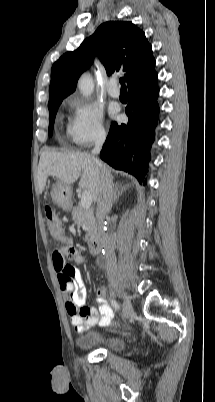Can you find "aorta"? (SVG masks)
<instances>
[{
	"instance_id": "obj_1",
	"label": "aorta",
	"mask_w": 215,
	"mask_h": 402,
	"mask_svg": "<svg viewBox=\"0 0 215 402\" xmlns=\"http://www.w3.org/2000/svg\"><path fill=\"white\" fill-rule=\"evenodd\" d=\"M78 87L83 96L89 97L94 91L92 77L87 73L83 74L78 81Z\"/></svg>"
}]
</instances>
